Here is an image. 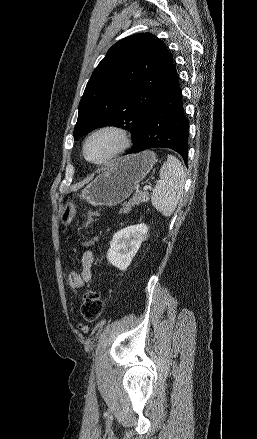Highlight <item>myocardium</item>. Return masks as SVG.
<instances>
[{
	"instance_id": "obj_1",
	"label": "myocardium",
	"mask_w": 257,
	"mask_h": 439,
	"mask_svg": "<svg viewBox=\"0 0 257 439\" xmlns=\"http://www.w3.org/2000/svg\"><path fill=\"white\" fill-rule=\"evenodd\" d=\"M102 133H111L113 134L118 141V146L114 149V151L108 155L106 158L95 161L88 157L87 155V148L90 143V141L96 137L99 134ZM130 144V136L128 131L116 124H106L103 126L98 127L97 129L93 130L86 138L84 145H83V156L89 163L96 165V166H105L113 162L116 158H118L124 151L128 148Z\"/></svg>"
}]
</instances>
